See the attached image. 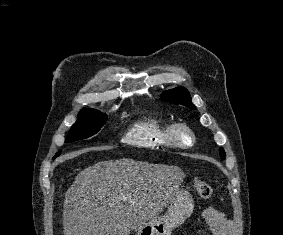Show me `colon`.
I'll list each match as a JSON object with an SVG mask.
<instances>
[{
    "mask_svg": "<svg viewBox=\"0 0 283 235\" xmlns=\"http://www.w3.org/2000/svg\"><path fill=\"white\" fill-rule=\"evenodd\" d=\"M195 188L198 193V195L202 199H209L213 195V189L211 185L202 179H196L195 180Z\"/></svg>",
    "mask_w": 283,
    "mask_h": 235,
    "instance_id": "1",
    "label": "colon"
}]
</instances>
